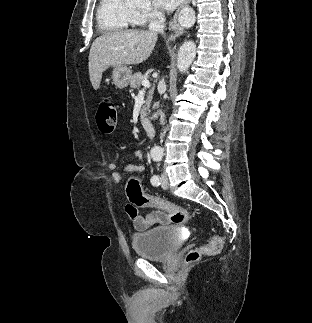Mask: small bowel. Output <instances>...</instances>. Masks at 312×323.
<instances>
[{
	"label": "small bowel",
	"mask_w": 312,
	"mask_h": 323,
	"mask_svg": "<svg viewBox=\"0 0 312 323\" xmlns=\"http://www.w3.org/2000/svg\"><path fill=\"white\" fill-rule=\"evenodd\" d=\"M132 155L138 160L137 163L127 164L124 172L140 173L145 169L143 162V153L140 150H134ZM109 170L112 172V179L115 183H120L123 180V174L118 170V164L112 161L108 165ZM128 214V213H127ZM129 216V215H128ZM132 220L133 226L138 231H145L151 227L158 225L169 224L170 219L168 215L162 211L154 210L148 214H141L137 211L136 216H129Z\"/></svg>",
	"instance_id": "obj_1"
}]
</instances>
